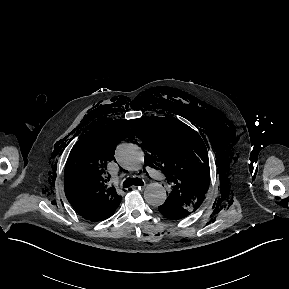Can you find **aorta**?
I'll return each mask as SVG.
<instances>
[{
    "label": "aorta",
    "mask_w": 289,
    "mask_h": 289,
    "mask_svg": "<svg viewBox=\"0 0 289 289\" xmlns=\"http://www.w3.org/2000/svg\"><path fill=\"white\" fill-rule=\"evenodd\" d=\"M119 165L130 171H139L146 163L143 151L135 144L122 143L115 152ZM146 202L154 207L164 204L167 199L166 190L159 183L149 184L144 191Z\"/></svg>",
    "instance_id": "1"
}]
</instances>
